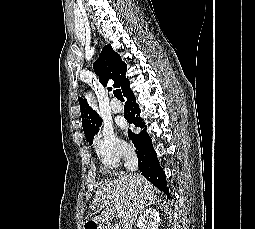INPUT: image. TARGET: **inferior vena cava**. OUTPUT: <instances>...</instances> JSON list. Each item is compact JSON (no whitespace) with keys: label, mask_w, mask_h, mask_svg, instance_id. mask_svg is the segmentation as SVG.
I'll return each mask as SVG.
<instances>
[{"label":"inferior vena cava","mask_w":255,"mask_h":229,"mask_svg":"<svg viewBox=\"0 0 255 229\" xmlns=\"http://www.w3.org/2000/svg\"><path fill=\"white\" fill-rule=\"evenodd\" d=\"M125 168L131 172L138 170V158L133 148L124 152Z\"/></svg>","instance_id":"inferior-vena-cava-1"}]
</instances>
